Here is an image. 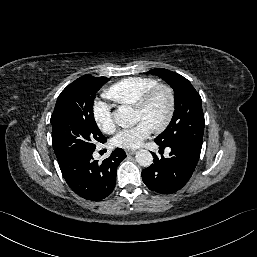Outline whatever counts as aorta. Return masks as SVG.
Listing matches in <instances>:
<instances>
[{"mask_svg": "<svg viewBox=\"0 0 257 257\" xmlns=\"http://www.w3.org/2000/svg\"><path fill=\"white\" fill-rule=\"evenodd\" d=\"M113 119L118 126L128 128L136 123L134 111L129 106H121L113 113ZM136 161L140 166L149 167L153 163V156L148 150L141 149L136 153Z\"/></svg>", "mask_w": 257, "mask_h": 257, "instance_id": "762f6f07", "label": "aorta"}]
</instances>
